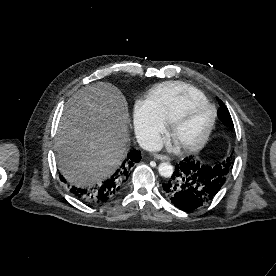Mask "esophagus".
Instances as JSON below:
<instances>
[{"instance_id":"obj_1","label":"esophagus","mask_w":276,"mask_h":276,"mask_svg":"<svg viewBox=\"0 0 276 276\" xmlns=\"http://www.w3.org/2000/svg\"><path fill=\"white\" fill-rule=\"evenodd\" d=\"M154 157L158 160H162V161H170V157L166 156V155H162V154H154Z\"/></svg>"}]
</instances>
